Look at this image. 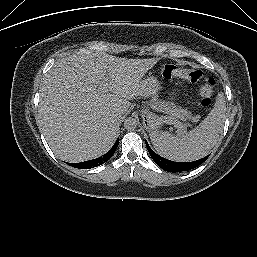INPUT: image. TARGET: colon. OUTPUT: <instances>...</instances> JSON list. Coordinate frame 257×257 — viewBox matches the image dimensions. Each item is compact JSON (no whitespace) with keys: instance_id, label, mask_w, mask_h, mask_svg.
Returning a JSON list of instances; mask_svg holds the SVG:
<instances>
[{"instance_id":"obj_1","label":"colon","mask_w":257,"mask_h":257,"mask_svg":"<svg viewBox=\"0 0 257 257\" xmlns=\"http://www.w3.org/2000/svg\"><path fill=\"white\" fill-rule=\"evenodd\" d=\"M161 75L165 79L182 78L192 83H198L203 80V73L199 70L182 69L172 64H166L161 67ZM216 89V81L212 77H207L203 80L199 88L200 105L203 108H208L213 99Z\"/></svg>"}]
</instances>
